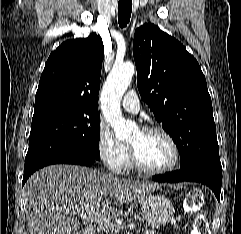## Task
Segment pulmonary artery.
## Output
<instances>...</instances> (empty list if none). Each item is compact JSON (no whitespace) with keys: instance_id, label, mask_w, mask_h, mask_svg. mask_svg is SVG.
Wrapping results in <instances>:
<instances>
[{"instance_id":"pulmonary-artery-1","label":"pulmonary artery","mask_w":241,"mask_h":234,"mask_svg":"<svg viewBox=\"0 0 241 234\" xmlns=\"http://www.w3.org/2000/svg\"><path fill=\"white\" fill-rule=\"evenodd\" d=\"M123 108L131 113H137L140 109V101L134 90H129L122 100Z\"/></svg>"}]
</instances>
